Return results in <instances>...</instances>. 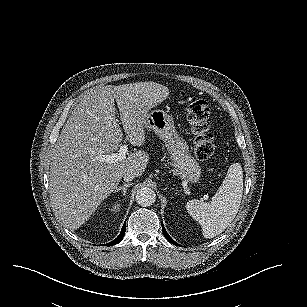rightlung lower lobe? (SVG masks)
<instances>
[{
  "label": "right lung lower lobe",
  "mask_w": 307,
  "mask_h": 307,
  "mask_svg": "<svg viewBox=\"0 0 307 307\" xmlns=\"http://www.w3.org/2000/svg\"><path fill=\"white\" fill-rule=\"evenodd\" d=\"M125 229H126V224L124 223L119 236L115 240H113L112 242L106 244V246H112V245L119 243L124 237Z\"/></svg>",
  "instance_id": "1"
}]
</instances>
